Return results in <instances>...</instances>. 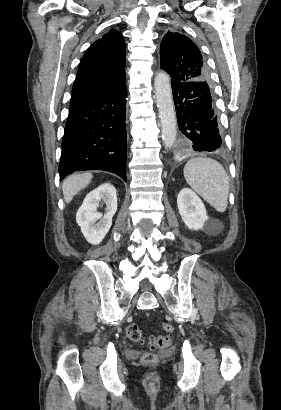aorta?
I'll list each match as a JSON object with an SVG mask.
<instances>
[{
  "instance_id": "obj_1",
  "label": "aorta",
  "mask_w": 281,
  "mask_h": 410,
  "mask_svg": "<svg viewBox=\"0 0 281 410\" xmlns=\"http://www.w3.org/2000/svg\"><path fill=\"white\" fill-rule=\"evenodd\" d=\"M154 87L164 147L171 149L177 136V119L169 76L165 72H159L155 77Z\"/></svg>"
}]
</instances>
